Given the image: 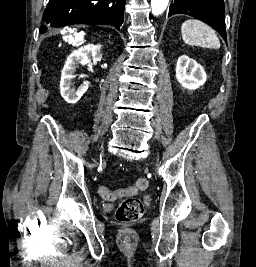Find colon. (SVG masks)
Wrapping results in <instances>:
<instances>
[{
	"mask_svg": "<svg viewBox=\"0 0 256 267\" xmlns=\"http://www.w3.org/2000/svg\"><path fill=\"white\" fill-rule=\"evenodd\" d=\"M149 187V182L145 178H138L132 188H121V191L118 192V195H131L135 196L138 193L147 190ZM99 193L102 200L110 201L115 198L114 192L105 186L99 187ZM128 199H123L116 211V218L120 222H135L143 215L144 205L136 197H125Z\"/></svg>",
	"mask_w": 256,
	"mask_h": 267,
	"instance_id": "5ec220e1",
	"label": "colon"
}]
</instances>
